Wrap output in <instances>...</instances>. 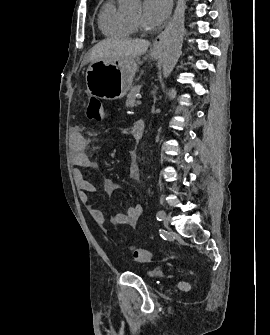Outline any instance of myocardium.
<instances>
[{
    "label": "myocardium",
    "mask_w": 270,
    "mask_h": 335,
    "mask_svg": "<svg viewBox=\"0 0 270 335\" xmlns=\"http://www.w3.org/2000/svg\"><path fill=\"white\" fill-rule=\"evenodd\" d=\"M129 23L131 24V26H132L133 28L137 27V26L134 25L130 20H129Z\"/></svg>",
    "instance_id": "f54148a6"
}]
</instances>
